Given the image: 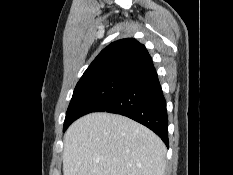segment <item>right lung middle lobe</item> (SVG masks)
Returning <instances> with one entry per match:
<instances>
[{"label":"right lung middle lobe","mask_w":233,"mask_h":175,"mask_svg":"<svg viewBox=\"0 0 233 175\" xmlns=\"http://www.w3.org/2000/svg\"><path fill=\"white\" fill-rule=\"evenodd\" d=\"M132 79L123 75H106L79 81L66 112L63 131L79 117L94 112L112 99Z\"/></svg>","instance_id":"obj_1"}]
</instances>
